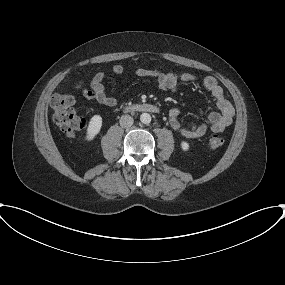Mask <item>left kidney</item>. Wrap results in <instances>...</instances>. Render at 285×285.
Wrapping results in <instances>:
<instances>
[{
    "label": "left kidney",
    "instance_id": "left-kidney-1",
    "mask_svg": "<svg viewBox=\"0 0 285 285\" xmlns=\"http://www.w3.org/2000/svg\"><path fill=\"white\" fill-rule=\"evenodd\" d=\"M181 148L183 151H188L189 150V143L186 141L181 142Z\"/></svg>",
    "mask_w": 285,
    "mask_h": 285
}]
</instances>
